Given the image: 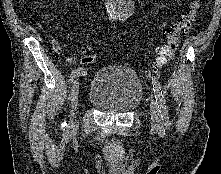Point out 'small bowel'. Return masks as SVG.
Returning a JSON list of instances; mask_svg holds the SVG:
<instances>
[{"mask_svg": "<svg viewBox=\"0 0 221 174\" xmlns=\"http://www.w3.org/2000/svg\"><path fill=\"white\" fill-rule=\"evenodd\" d=\"M42 17H43V19L46 18L44 14L42 15ZM52 44H53L54 49H55L57 52H60V51L62 50V47H61L60 43H59L57 40L54 39V40L52 41ZM66 60H67L68 62L72 63V62H74L75 58H74V57H67Z\"/></svg>", "mask_w": 221, "mask_h": 174, "instance_id": "obj_1", "label": "small bowel"}]
</instances>
